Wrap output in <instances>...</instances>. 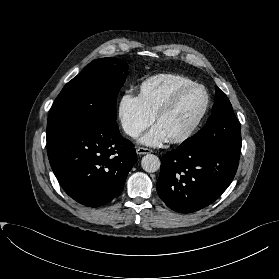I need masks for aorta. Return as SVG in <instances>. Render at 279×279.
I'll return each mask as SVG.
<instances>
[{"label":"aorta","instance_id":"aorta-1","mask_svg":"<svg viewBox=\"0 0 279 279\" xmlns=\"http://www.w3.org/2000/svg\"><path fill=\"white\" fill-rule=\"evenodd\" d=\"M160 164V159L154 154H147L141 160L143 170L148 173H153L159 170Z\"/></svg>","mask_w":279,"mask_h":279}]
</instances>
